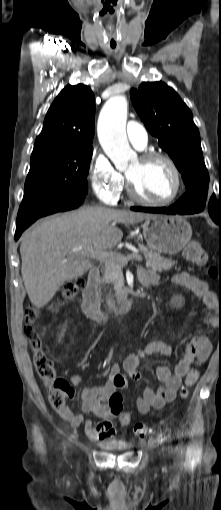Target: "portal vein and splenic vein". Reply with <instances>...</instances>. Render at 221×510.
Segmentation results:
<instances>
[{"mask_svg": "<svg viewBox=\"0 0 221 510\" xmlns=\"http://www.w3.org/2000/svg\"><path fill=\"white\" fill-rule=\"evenodd\" d=\"M80 250H82L81 247L72 249L71 252H76V251H80ZM85 255L88 258L97 259L100 262H103L105 264H109L114 259H119L123 263H127L130 260L142 261V257L138 254H130V255L124 256V255H117L116 253H113V252L94 250L91 248L88 249V251L85 253Z\"/></svg>", "mask_w": 221, "mask_h": 510, "instance_id": "portal-vein-and-splenic-vein-1", "label": "portal vein and splenic vein"}]
</instances>
